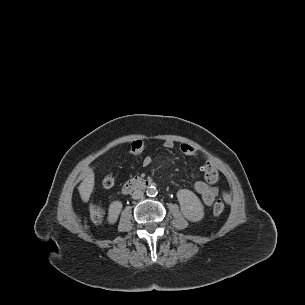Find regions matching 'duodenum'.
Here are the masks:
<instances>
[{
  "label": "duodenum",
  "mask_w": 305,
  "mask_h": 305,
  "mask_svg": "<svg viewBox=\"0 0 305 305\" xmlns=\"http://www.w3.org/2000/svg\"><path fill=\"white\" fill-rule=\"evenodd\" d=\"M154 185L155 182L150 179L133 178L124 183L122 186V192L124 194H129L136 189H146Z\"/></svg>",
  "instance_id": "1"
}]
</instances>
